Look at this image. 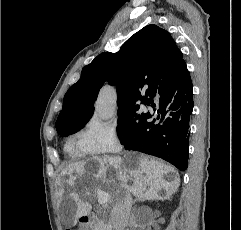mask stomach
Listing matches in <instances>:
<instances>
[{"label": "stomach", "mask_w": 241, "mask_h": 230, "mask_svg": "<svg viewBox=\"0 0 241 230\" xmlns=\"http://www.w3.org/2000/svg\"><path fill=\"white\" fill-rule=\"evenodd\" d=\"M80 230H87V228L83 225H81Z\"/></svg>", "instance_id": "obj_1"}]
</instances>
